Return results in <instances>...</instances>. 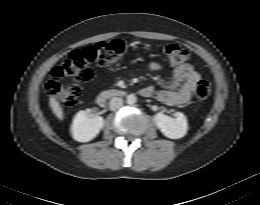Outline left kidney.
Here are the masks:
<instances>
[{"mask_svg":"<svg viewBox=\"0 0 260 205\" xmlns=\"http://www.w3.org/2000/svg\"><path fill=\"white\" fill-rule=\"evenodd\" d=\"M174 115L175 118H172L159 112L154 116V122L167 138L179 139L186 135L188 123L183 113L176 112Z\"/></svg>","mask_w":260,"mask_h":205,"instance_id":"left-kidney-1","label":"left kidney"}]
</instances>
